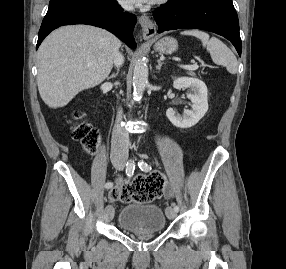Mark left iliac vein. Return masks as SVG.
Segmentation results:
<instances>
[{"mask_svg":"<svg viewBox=\"0 0 286 269\" xmlns=\"http://www.w3.org/2000/svg\"><path fill=\"white\" fill-rule=\"evenodd\" d=\"M166 215L168 219H174L176 217V211L172 207H167Z\"/></svg>","mask_w":286,"mask_h":269,"instance_id":"4c4485c4","label":"left iliac vein"}]
</instances>
